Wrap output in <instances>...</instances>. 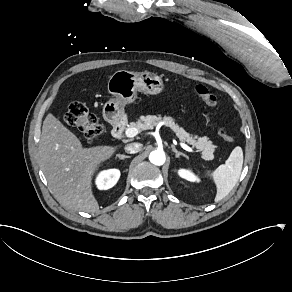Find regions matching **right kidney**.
<instances>
[{"label": "right kidney", "instance_id": "obj_1", "mask_svg": "<svg viewBox=\"0 0 292 292\" xmlns=\"http://www.w3.org/2000/svg\"><path fill=\"white\" fill-rule=\"evenodd\" d=\"M120 177V173L118 170H109L103 172L97 181L98 187L100 189H109L113 187Z\"/></svg>", "mask_w": 292, "mask_h": 292}]
</instances>
